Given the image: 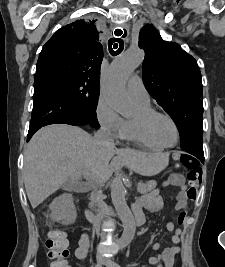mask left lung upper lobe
I'll return each mask as SVG.
<instances>
[{
    "label": "left lung upper lobe",
    "instance_id": "left-lung-upper-lobe-1",
    "mask_svg": "<svg viewBox=\"0 0 225 267\" xmlns=\"http://www.w3.org/2000/svg\"><path fill=\"white\" fill-rule=\"evenodd\" d=\"M139 47L145 51V87L175 122L181 148L203 150V89L196 60L177 43L164 41L152 25L142 28Z\"/></svg>",
    "mask_w": 225,
    "mask_h": 267
}]
</instances>
